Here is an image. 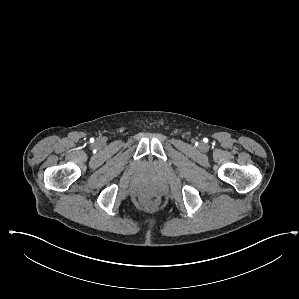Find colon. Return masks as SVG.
<instances>
[{"mask_svg": "<svg viewBox=\"0 0 299 299\" xmlns=\"http://www.w3.org/2000/svg\"><path fill=\"white\" fill-rule=\"evenodd\" d=\"M144 203L148 206H156L158 203V198L155 195H149L144 198Z\"/></svg>", "mask_w": 299, "mask_h": 299, "instance_id": "1", "label": "colon"}]
</instances>
